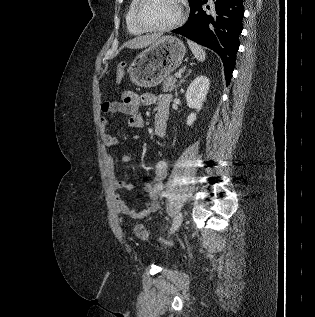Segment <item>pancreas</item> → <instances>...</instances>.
<instances>
[{
    "mask_svg": "<svg viewBox=\"0 0 315 317\" xmlns=\"http://www.w3.org/2000/svg\"><path fill=\"white\" fill-rule=\"evenodd\" d=\"M175 83H176V78L172 75L168 76L163 83V90L172 91L174 88H176Z\"/></svg>",
    "mask_w": 315,
    "mask_h": 317,
    "instance_id": "1",
    "label": "pancreas"
}]
</instances>
